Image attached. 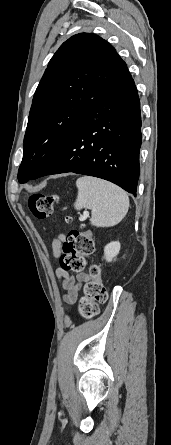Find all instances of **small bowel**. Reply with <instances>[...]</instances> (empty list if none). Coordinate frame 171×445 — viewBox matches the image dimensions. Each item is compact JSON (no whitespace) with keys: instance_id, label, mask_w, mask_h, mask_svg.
<instances>
[{"instance_id":"small-bowel-1","label":"small bowel","mask_w":171,"mask_h":445,"mask_svg":"<svg viewBox=\"0 0 171 445\" xmlns=\"http://www.w3.org/2000/svg\"><path fill=\"white\" fill-rule=\"evenodd\" d=\"M66 240L64 234H60L51 243V254L55 259H60L63 254V244ZM56 276L61 281L62 287L66 290L64 294V301L66 303H74L82 289L85 282L90 279V275L87 272L81 271L77 273H68L61 267L57 268Z\"/></svg>"}]
</instances>
